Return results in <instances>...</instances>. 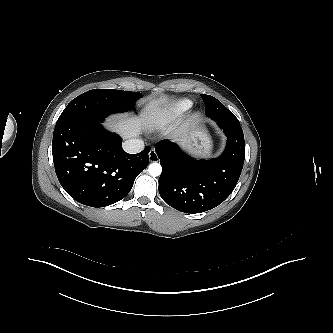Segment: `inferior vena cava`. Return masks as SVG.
I'll use <instances>...</instances> for the list:
<instances>
[{"mask_svg": "<svg viewBox=\"0 0 333 333\" xmlns=\"http://www.w3.org/2000/svg\"><path fill=\"white\" fill-rule=\"evenodd\" d=\"M123 149L130 154L139 153L144 149V142L141 139H129L123 143Z\"/></svg>", "mask_w": 333, "mask_h": 333, "instance_id": "1", "label": "inferior vena cava"}]
</instances>
